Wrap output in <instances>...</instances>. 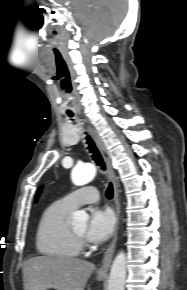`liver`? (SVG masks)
<instances>
[{"mask_svg":"<svg viewBox=\"0 0 187 290\" xmlns=\"http://www.w3.org/2000/svg\"><path fill=\"white\" fill-rule=\"evenodd\" d=\"M22 269L24 290H84L95 265L73 257L36 256Z\"/></svg>","mask_w":187,"mask_h":290,"instance_id":"liver-1","label":"liver"}]
</instances>
